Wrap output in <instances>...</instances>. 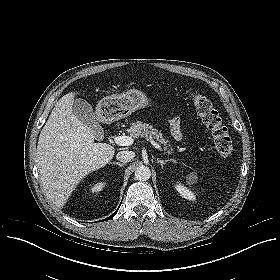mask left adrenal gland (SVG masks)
<instances>
[{"mask_svg":"<svg viewBox=\"0 0 280 280\" xmlns=\"http://www.w3.org/2000/svg\"><path fill=\"white\" fill-rule=\"evenodd\" d=\"M169 161L174 162V159L160 160V159L157 158V163H159L162 167H163L164 164H166Z\"/></svg>","mask_w":280,"mask_h":280,"instance_id":"obj_1","label":"left adrenal gland"}]
</instances>
